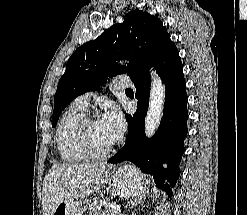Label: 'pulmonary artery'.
<instances>
[{
  "mask_svg": "<svg viewBox=\"0 0 247 215\" xmlns=\"http://www.w3.org/2000/svg\"><path fill=\"white\" fill-rule=\"evenodd\" d=\"M113 86L116 88V89H125V88H129L132 86V81L129 77L127 76H116L114 82H113ZM94 96L93 93L89 92V93H85V94H82L80 96H78L76 99H75V103L80 106L81 108H84L86 109L87 106H88V103L90 101V99Z\"/></svg>",
  "mask_w": 247,
  "mask_h": 215,
  "instance_id": "pulmonary-artery-1",
  "label": "pulmonary artery"
}]
</instances>
